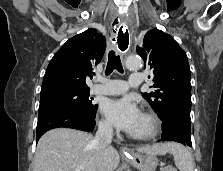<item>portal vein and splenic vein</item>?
Listing matches in <instances>:
<instances>
[{
	"label": "portal vein and splenic vein",
	"instance_id": "portal-vein-and-splenic-vein-1",
	"mask_svg": "<svg viewBox=\"0 0 223 171\" xmlns=\"http://www.w3.org/2000/svg\"><path fill=\"white\" fill-rule=\"evenodd\" d=\"M81 169H82V167H78V168H76L75 171H81Z\"/></svg>",
	"mask_w": 223,
	"mask_h": 171
}]
</instances>
